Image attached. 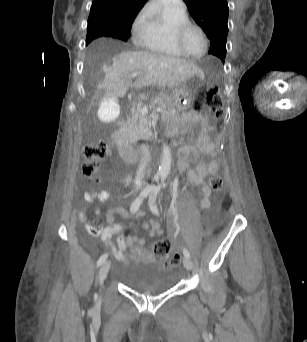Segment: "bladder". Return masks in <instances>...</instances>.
Returning a JSON list of instances; mask_svg holds the SVG:
<instances>
[{"label": "bladder", "instance_id": "bladder-1", "mask_svg": "<svg viewBox=\"0 0 307 342\" xmlns=\"http://www.w3.org/2000/svg\"><path fill=\"white\" fill-rule=\"evenodd\" d=\"M122 281L131 290L149 295L169 291L176 284L170 272L140 262H130L126 265Z\"/></svg>", "mask_w": 307, "mask_h": 342}]
</instances>
